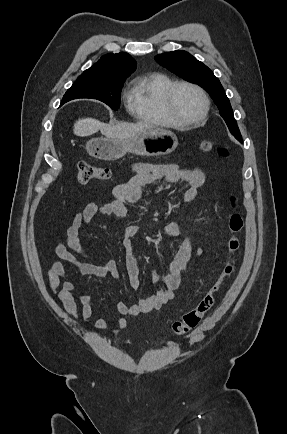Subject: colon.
<instances>
[{"mask_svg": "<svg viewBox=\"0 0 287 434\" xmlns=\"http://www.w3.org/2000/svg\"><path fill=\"white\" fill-rule=\"evenodd\" d=\"M200 151L203 153L213 152L215 149L212 141H202L200 143ZM221 154H226V149H220ZM111 177V169L104 166H96L86 162L78 164L77 180L81 184H86L91 180H107ZM232 212L229 215V238L227 241L230 252V260L225 266L220 278L212 286L208 294H206L197 304V306L187 312L181 320L173 324V333L178 336L188 335L195 327H197L204 316L212 309L215 304V296L223 286L224 282L234 273L236 254L241 250V233L244 228L243 215L238 208V198L235 195L231 196Z\"/></svg>", "mask_w": 287, "mask_h": 434, "instance_id": "1", "label": "colon"}]
</instances>
